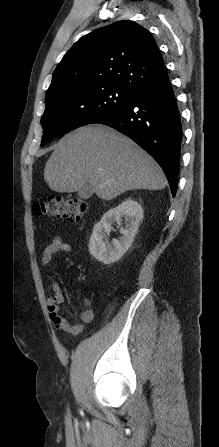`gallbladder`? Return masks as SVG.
Here are the masks:
<instances>
[{
  "label": "gallbladder",
  "mask_w": 219,
  "mask_h": 447,
  "mask_svg": "<svg viewBox=\"0 0 219 447\" xmlns=\"http://www.w3.org/2000/svg\"><path fill=\"white\" fill-rule=\"evenodd\" d=\"M77 195L82 199H89L93 195V191L88 185H85L77 191Z\"/></svg>",
  "instance_id": "1"
}]
</instances>
